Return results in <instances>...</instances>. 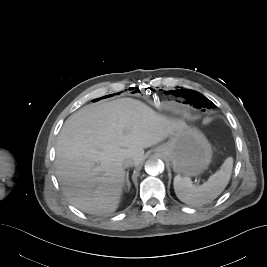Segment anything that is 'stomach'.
Masks as SVG:
<instances>
[{"instance_id": "0dacf381", "label": "stomach", "mask_w": 267, "mask_h": 267, "mask_svg": "<svg viewBox=\"0 0 267 267\" xmlns=\"http://www.w3.org/2000/svg\"><path fill=\"white\" fill-rule=\"evenodd\" d=\"M155 152L172 164L174 172L186 177L202 174L211 163L212 149L203 133L186 127L174 131Z\"/></svg>"}]
</instances>
